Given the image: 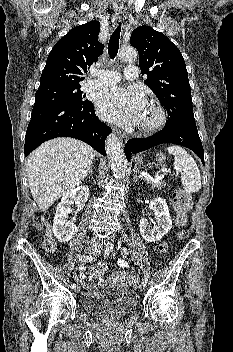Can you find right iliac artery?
Masks as SVG:
<instances>
[{
    "instance_id": "obj_1",
    "label": "right iliac artery",
    "mask_w": 233,
    "mask_h": 352,
    "mask_svg": "<svg viewBox=\"0 0 233 352\" xmlns=\"http://www.w3.org/2000/svg\"><path fill=\"white\" fill-rule=\"evenodd\" d=\"M97 257L95 256V257H93V256H91V255H81L80 257H79V260L81 261V262H91L92 260H95ZM70 287L73 289V288H75L76 287V285H75V283H71L70 284Z\"/></svg>"
}]
</instances>
